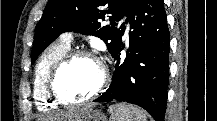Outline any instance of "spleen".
<instances>
[{"mask_svg": "<svg viewBox=\"0 0 217 121\" xmlns=\"http://www.w3.org/2000/svg\"><path fill=\"white\" fill-rule=\"evenodd\" d=\"M112 121H146L143 112L133 105L117 103L109 107Z\"/></svg>", "mask_w": 217, "mask_h": 121, "instance_id": "spleen-1", "label": "spleen"}]
</instances>
